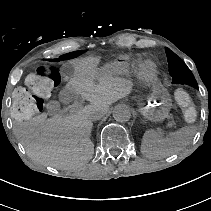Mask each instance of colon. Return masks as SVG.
I'll return each instance as SVG.
<instances>
[{"mask_svg": "<svg viewBox=\"0 0 211 211\" xmlns=\"http://www.w3.org/2000/svg\"><path fill=\"white\" fill-rule=\"evenodd\" d=\"M59 82L60 75L56 69L48 65L38 67L26 77L24 86L13 92L12 118L17 122H25L42 112L45 100ZM175 100L184 120L193 123L197 118V109L190 94L184 89H178Z\"/></svg>", "mask_w": 211, "mask_h": 211, "instance_id": "obj_1", "label": "colon"}]
</instances>
